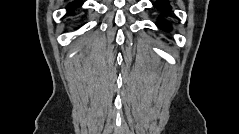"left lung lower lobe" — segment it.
I'll return each instance as SVG.
<instances>
[{
    "label": "left lung lower lobe",
    "instance_id": "obj_1",
    "mask_svg": "<svg viewBox=\"0 0 239 134\" xmlns=\"http://www.w3.org/2000/svg\"><path fill=\"white\" fill-rule=\"evenodd\" d=\"M154 6L157 7L158 9L163 10L161 16H166L167 14H169L171 10V6L169 5V1L167 0H157L154 3ZM157 25L167 31L171 29V25L167 21H160L157 23Z\"/></svg>",
    "mask_w": 239,
    "mask_h": 134
}]
</instances>
